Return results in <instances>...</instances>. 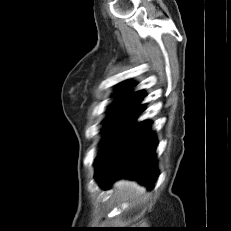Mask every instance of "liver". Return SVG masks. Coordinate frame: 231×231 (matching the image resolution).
I'll list each match as a JSON object with an SVG mask.
<instances>
[{
    "mask_svg": "<svg viewBox=\"0 0 231 231\" xmlns=\"http://www.w3.org/2000/svg\"><path fill=\"white\" fill-rule=\"evenodd\" d=\"M114 195L121 201L130 202L132 207L139 204L146 196V189L137 182L131 180H120L114 183Z\"/></svg>",
    "mask_w": 231,
    "mask_h": 231,
    "instance_id": "liver-1",
    "label": "liver"
}]
</instances>
